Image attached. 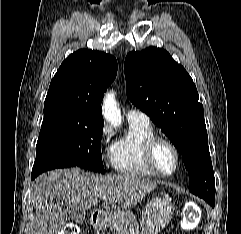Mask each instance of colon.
<instances>
[{
	"mask_svg": "<svg viewBox=\"0 0 241 234\" xmlns=\"http://www.w3.org/2000/svg\"><path fill=\"white\" fill-rule=\"evenodd\" d=\"M201 217V211L199 207L195 204H190L189 206L186 207V209L182 213L181 217V225L182 228L185 231H191L193 230ZM63 234H78V228L74 224H68L65 229Z\"/></svg>",
	"mask_w": 241,
	"mask_h": 234,
	"instance_id": "obj_1",
	"label": "colon"
}]
</instances>
